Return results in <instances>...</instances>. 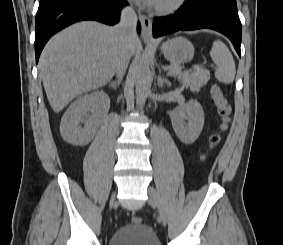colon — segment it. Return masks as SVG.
Listing matches in <instances>:
<instances>
[{
	"mask_svg": "<svg viewBox=\"0 0 283 245\" xmlns=\"http://www.w3.org/2000/svg\"><path fill=\"white\" fill-rule=\"evenodd\" d=\"M211 97L217 108L218 114L221 117L222 123L219 132L211 136L209 142V150L206 154L203 155L202 157L203 160L206 158L207 154L220 143L222 139V134L228 129L231 120V113H232L231 105L224 96L220 86L218 85L212 86ZM132 222L135 224H140L142 222V219L141 217L135 215L132 217Z\"/></svg>",
	"mask_w": 283,
	"mask_h": 245,
	"instance_id": "1",
	"label": "colon"
}]
</instances>
